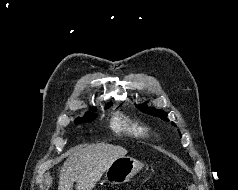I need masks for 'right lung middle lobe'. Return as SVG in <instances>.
Here are the masks:
<instances>
[{"label":"right lung middle lobe","mask_w":238,"mask_h":190,"mask_svg":"<svg viewBox=\"0 0 238 190\" xmlns=\"http://www.w3.org/2000/svg\"><path fill=\"white\" fill-rule=\"evenodd\" d=\"M91 110L94 111L95 109L92 108ZM96 116H97V114H92L90 112H87L86 115L84 116V118H77L76 122L89 121V120H92Z\"/></svg>","instance_id":"dd1d6c3e"}]
</instances>
